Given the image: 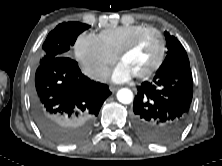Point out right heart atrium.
Masks as SVG:
<instances>
[{
  "label": "right heart atrium",
  "instance_id": "d8ad5b80",
  "mask_svg": "<svg viewBox=\"0 0 222 166\" xmlns=\"http://www.w3.org/2000/svg\"><path fill=\"white\" fill-rule=\"evenodd\" d=\"M74 52L82 71L95 81L104 80L116 59L93 34L79 35L75 42Z\"/></svg>",
  "mask_w": 222,
  "mask_h": 166
}]
</instances>
